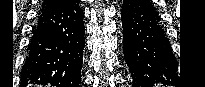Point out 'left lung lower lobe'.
Returning <instances> with one entry per match:
<instances>
[{
	"mask_svg": "<svg viewBox=\"0 0 205 87\" xmlns=\"http://www.w3.org/2000/svg\"><path fill=\"white\" fill-rule=\"evenodd\" d=\"M121 20L123 53L133 87L175 82L177 62L152 1L123 0Z\"/></svg>",
	"mask_w": 205,
	"mask_h": 87,
	"instance_id": "0a47b994",
	"label": "left lung lower lobe"
}]
</instances>
